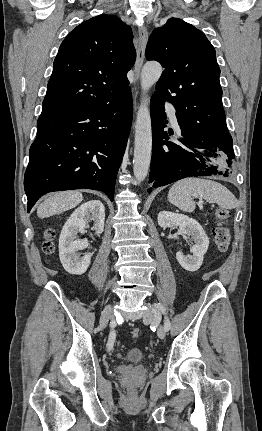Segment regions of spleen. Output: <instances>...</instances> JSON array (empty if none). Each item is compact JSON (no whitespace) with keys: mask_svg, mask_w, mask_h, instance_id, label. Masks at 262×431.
<instances>
[{"mask_svg":"<svg viewBox=\"0 0 262 431\" xmlns=\"http://www.w3.org/2000/svg\"><path fill=\"white\" fill-rule=\"evenodd\" d=\"M199 197L224 209L237 207V199L225 186L208 179L190 177L179 180L168 193L169 202L184 212H193L196 207L193 199Z\"/></svg>","mask_w":262,"mask_h":431,"instance_id":"1","label":"spleen"}]
</instances>
